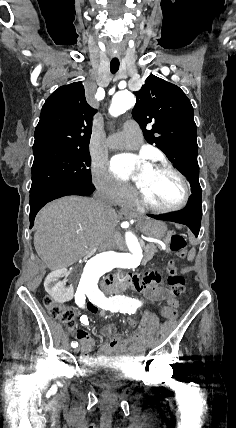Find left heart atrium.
Returning <instances> with one entry per match:
<instances>
[{
	"label": "left heart atrium",
	"mask_w": 236,
	"mask_h": 428,
	"mask_svg": "<svg viewBox=\"0 0 236 428\" xmlns=\"http://www.w3.org/2000/svg\"><path fill=\"white\" fill-rule=\"evenodd\" d=\"M139 165L142 167L141 171H148L151 169V166L145 161L137 159L133 156L125 155L115 157L112 160L111 170L116 176L122 179H128ZM136 182L139 185L138 179L136 180Z\"/></svg>",
	"instance_id": "obj_1"
}]
</instances>
